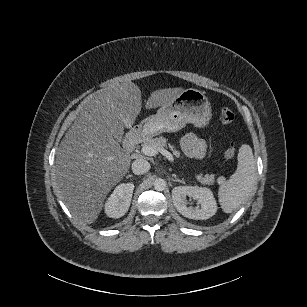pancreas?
Masks as SVG:
<instances>
[{
  "instance_id": "obj_1",
  "label": "pancreas",
  "mask_w": 307,
  "mask_h": 307,
  "mask_svg": "<svg viewBox=\"0 0 307 307\" xmlns=\"http://www.w3.org/2000/svg\"><path fill=\"white\" fill-rule=\"evenodd\" d=\"M142 146H154L156 149L167 147V139L160 136L157 138H147ZM173 154L176 157H180V152L173 149ZM196 179L203 185H213L215 182L214 174H199L196 176Z\"/></svg>"
}]
</instances>
